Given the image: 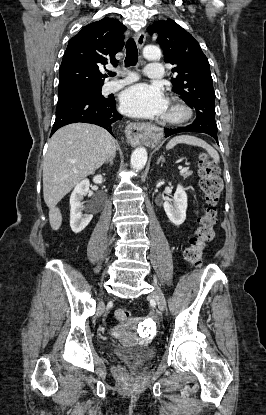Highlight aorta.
Instances as JSON below:
<instances>
[{
    "label": "aorta",
    "instance_id": "aorta-1",
    "mask_svg": "<svg viewBox=\"0 0 266 415\" xmlns=\"http://www.w3.org/2000/svg\"><path fill=\"white\" fill-rule=\"evenodd\" d=\"M143 55L148 60H156L161 57V51L157 46L147 45ZM147 162V151L144 148H136L131 155V166L137 171L142 170Z\"/></svg>",
    "mask_w": 266,
    "mask_h": 415
}]
</instances>
